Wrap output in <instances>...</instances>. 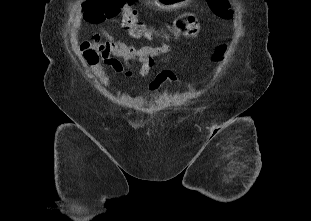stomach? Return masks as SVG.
Returning a JSON list of instances; mask_svg holds the SVG:
<instances>
[{"instance_id": "0dacf381", "label": "stomach", "mask_w": 311, "mask_h": 221, "mask_svg": "<svg viewBox=\"0 0 311 221\" xmlns=\"http://www.w3.org/2000/svg\"><path fill=\"white\" fill-rule=\"evenodd\" d=\"M153 6L159 10H172V8H179L186 0H150Z\"/></svg>"}]
</instances>
